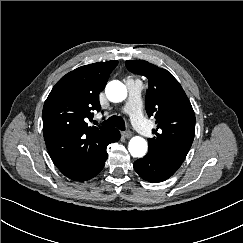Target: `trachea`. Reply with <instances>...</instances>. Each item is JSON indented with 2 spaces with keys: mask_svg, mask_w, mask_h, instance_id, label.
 <instances>
[{
  "mask_svg": "<svg viewBox=\"0 0 243 243\" xmlns=\"http://www.w3.org/2000/svg\"><path fill=\"white\" fill-rule=\"evenodd\" d=\"M102 125L117 127L120 130H125L126 128L124 120L119 116H112L108 118L107 120L102 122Z\"/></svg>",
  "mask_w": 243,
  "mask_h": 243,
  "instance_id": "1",
  "label": "trachea"
}]
</instances>
